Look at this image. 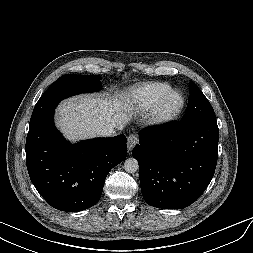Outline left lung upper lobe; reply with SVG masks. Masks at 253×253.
<instances>
[{
  "instance_id": "obj_1",
  "label": "left lung upper lobe",
  "mask_w": 253,
  "mask_h": 253,
  "mask_svg": "<svg viewBox=\"0 0 253 253\" xmlns=\"http://www.w3.org/2000/svg\"><path fill=\"white\" fill-rule=\"evenodd\" d=\"M188 105L183 119V124H190L205 119H216L214 110L208 99L193 81L189 83Z\"/></svg>"
}]
</instances>
